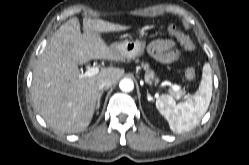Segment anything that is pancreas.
<instances>
[{
	"label": "pancreas",
	"mask_w": 249,
	"mask_h": 165,
	"mask_svg": "<svg viewBox=\"0 0 249 165\" xmlns=\"http://www.w3.org/2000/svg\"><path fill=\"white\" fill-rule=\"evenodd\" d=\"M145 70H146V74H145V82L148 83V84H152L153 81H155V84L158 83V79L155 77L154 75V72L152 70L149 69L148 65L147 64H144L143 65ZM184 92L183 91H179L178 92V95L181 96L183 95ZM177 95V94H176Z\"/></svg>",
	"instance_id": "obj_1"
}]
</instances>
